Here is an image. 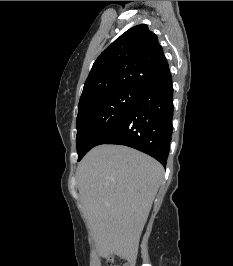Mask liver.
<instances>
[{
  "label": "liver",
  "mask_w": 233,
  "mask_h": 266,
  "mask_svg": "<svg viewBox=\"0 0 233 266\" xmlns=\"http://www.w3.org/2000/svg\"><path fill=\"white\" fill-rule=\"evenodd\" d=\"M163 175L158 161L130 147L100 145L85 155L76 177L100 256L135 257Z\"/></svg>",
  "instance_id": "1"
}]
</instances>
